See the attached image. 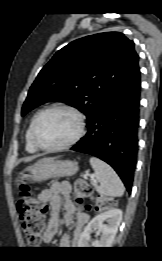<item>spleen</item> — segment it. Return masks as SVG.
I'll list each match as a JSON object with an SVG mask.
<instances>
[{
  "label": "spleen",
  "mask_w": 162,
  "mask_h": 261,
  "mask_svg": "<svg viewBox=\"0 0 162 261\" xmlns=\"http://www.w3.org/2000/svg\"><path fill=\"white\" fill-rule=\"evenodd\" d=\"M90 164L94 169V177L99 182L96 191L100 195L121 197L124 194V185L111 166L96 157L90 158Z\"/></svg>",
  "instance_id": "spleen-1"
}]
</instances>
